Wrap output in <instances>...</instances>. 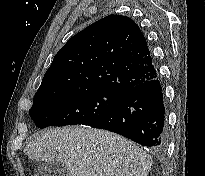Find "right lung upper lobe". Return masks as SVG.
Here are the masks:
<instances>
[{
    "label": "right lung upper lobe",
    "mask_w": 205,
    "mask_h": 176,
    "mask_svg": "<svg viewBox=\"0 0 205 176\" xmlns=\"http://www.w3.org/2000/svg\"><path fill=\"white\" fill-rule=\"evenodd\" d=\"M157 75L138 25L129 17L109 15L67 41L35 96L91 88L124 94Z\"/></svg>",
    "instance_id": "obj_1"
}]
</instances>
